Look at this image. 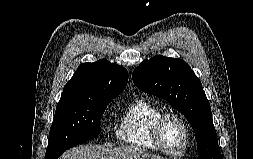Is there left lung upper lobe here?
I'll list each match as a JSON object with an SVG mask.
<instances>
[{
    "instance_id": "5c2ea615",
    "label": "left lung upper lobe",
    "mask_w": 253,
    "mask_h": 159,
    "mask_svg": "<svg viewBox=\"0 0 253 159\" xmlns=\"http://www.w3.org/2000/svg\"><path fill=\"white\" fill-rule=\"evenodd\" d=\"M132 79L140 90L167 100L184 114L195 132L199 159H222L209 101L184 60L156 55L139 65Z\"/></svg>"
}]
</instances>
